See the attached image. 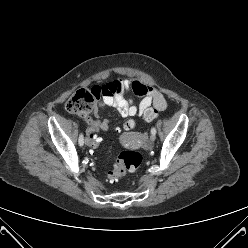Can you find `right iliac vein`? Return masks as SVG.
Masks as SVG:
<instances>
[{
    "label": "right iliac vein",
    "mask_w": 248,
    "mask_h": 248,
    "mask_svg": "<svg viewBox=\"0 0 248 248\" xmlns=\"http://www.w3.org/2000/svg\"><path fill=\"white\" fill-rule=\"evenodd\" d=\"M85 145H86V146L89 145V140H88V138L85 139Z\"/></svg>",
    "instance_id": "63e3f726"
}]
</instances>
